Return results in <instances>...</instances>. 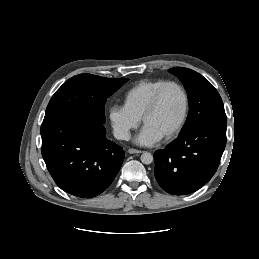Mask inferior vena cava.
<instances>
[{
	"mask_svg": "<svg viewBox=\"0 0 259 259\" xmlns=\"http://www.w3.org/2000/svg\"><path fill=\"white\" fill-rule=\"evenodd\" d=\"M113 134L114 137L118 140H129L130 138V134L126 129H115Z\"/></svg>",
	"mask_w": 259,
	"mask_h": 259,
	"instance_id": "602c4592",
	"label": "inferior vena cava"
}]
</instances>
